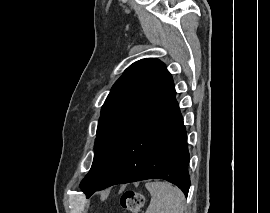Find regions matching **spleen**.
Listing matches in <instances>:
<instances>
[{
  "instance_id": "3e777b00",
  "label": "spleen",
  "mask_w": 270,
  "mask_h": 213,
  "mask_svg": "<svg viewBox=\"0 0 270 213\" xmlns=\"http://www.w3.org/2000/svg\"><path fill=\"white\" fill-rule=\"evenodd\" d=\"M146 188L151 201L145 213H184L185 196L179 188L161 181L148 182Z\"/></svg>"
}]
</instances>
